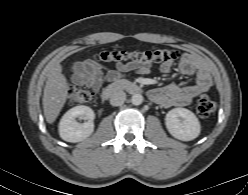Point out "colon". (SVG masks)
Returning <instances> with one entry per match:
<instances>
[{"label":"colon","instance_id":"obj_1","mask_svg":"<svg viewBox=\"0 0 248 195\" xmlns=\"http://www.w3.org/2000/svg\"><path fill=\"white\" fill-rule=\"evenodd\" d=\"M177 50L151 49L144 52L105 51L96 55V59L102 62L124 63L126 61H144L148 63H160L179 58ZM93 99V94L85 89L71 86L68 89V100L73 105L85 104ZM215 102L208 96H200L197 100V113L201 118L209 117L215 110Z\"/></svg>","mask_w":248,"mask_h":195}]
</instances>
